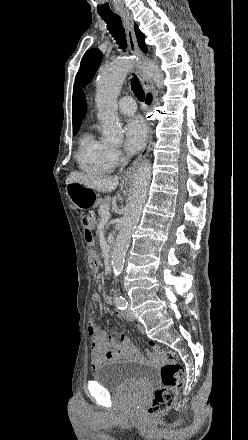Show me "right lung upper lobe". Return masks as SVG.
Listing matches in <instances>:
<instances>
[{
	"mask_svg": "<svg viewBox=\"0 0 248 440\" xmlns=\"http://www.w3.org/2000/svg\"><path fill=\"white\" fill-rule=\"evenodd\" d=\"M135 32L138 38L139 46L143 51H146V46L144 42V35L138 29L137 25L134 26ZM86 114V104L83 92L78 86H74L73 90V102H72V119H73V130H79L82 120Z\"/></svg>",
	"mask_w": 248,
	"mask_h": 440,
	"instance_id": "right-lung-upper-lobe-1",
	"label": "right lung upper lobe"
}]
</instances>
